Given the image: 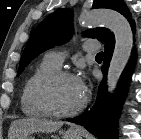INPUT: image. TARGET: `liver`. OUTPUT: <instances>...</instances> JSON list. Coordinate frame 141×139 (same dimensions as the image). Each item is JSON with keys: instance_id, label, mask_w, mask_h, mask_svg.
I'll list each match as a JSON object with an SVG mask.
<instances>
[{"instance_id": "obj_1", "label": "liver", "mask_w": 141, "mask_h": 139, "mask_svg": "<svg viewBox=\"0 0 141 139\" xmlns=\"http://www.w3.org/2000/svg\"><path fill=\"white\" fill-rule=\"evenodd\" d=\"M62 125L63 122L35 117L15 120L11 123L9 137L10 139H24L26 136L37 132H55Z\"/></svg>"}]
</instances>
